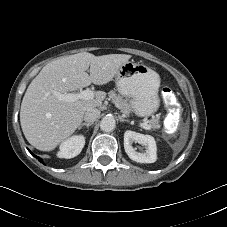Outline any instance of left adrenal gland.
<instances>
[{
  "instance_id": "obj_1",
  "label": "left adrenal gland",
  "mask_w": 227,
  "mask_h": 227,
  "mask_svg": "<svg viewBox=\"0 0 227 227\" xmlns=\"http://www.w3.org/2000/svg\"><path fill=\"white\" fill-rule=\"evenodd\" d=\"M119 119H120L121 122H129L128 119H124L122 116H119Z\"/></svg>"
}]
</instances>
